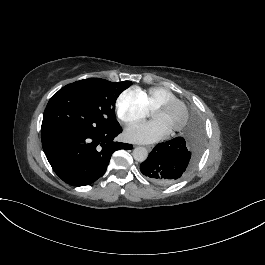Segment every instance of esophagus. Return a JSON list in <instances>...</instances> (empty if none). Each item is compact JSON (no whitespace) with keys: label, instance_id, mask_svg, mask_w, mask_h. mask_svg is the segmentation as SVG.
Wrapping results in <instances>:
<instances>
[{"label":"esophagus","instance_id":"1","mask_svg":"<svg viewBox=\"0 0 265 265\" xmlns=\"http://www.w3.org/2000/svg\"><path fill=\"white\" fill-rule=\"evenodd\" d=\"M153 148H154V145H148L147 146V149H148L149 152H151Z\"/></svg>","mask_w":265,"mask_h":265}]
</instances>
